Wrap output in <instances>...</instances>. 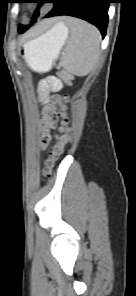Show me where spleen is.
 Here are the masks:
<instances>
[{"instance_id":"3e777b00","label":"spleen","mask_w":136,"mask_h":296,"mask_svg":"<svg viewBox=\"0 0 136 296\" xmlns=\"http://www.w3.org/2000/svg\"><path fill=\"white\" fill-rule=\"evenodd\" d=\"M68 26L70 37L60 65L73 75L85 76L93 70L98 61L100 32L93 25L74 18L69 19ZM65 28L68 30L66 26Z\"/></svg>"}]
</instances>
